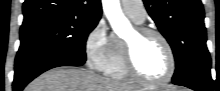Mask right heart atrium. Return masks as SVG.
I'll return each mask as SVG.
<instances>
[{"instance_id": "1", "label": "right heart atrium", "mask_w": 220, "mask_h": 91, "mask_svg": "<svg viewBox=\"0 0 220 91\" xmlns=\"http://www.w3.org/2000/svg\"><path fill=\"white\" fill-rule=\"evenodd\" d=\"M114 37L108 33L103 19L89 31L84 41L87 64L95 71H104L113 55Z\"/></svg>"}]
</instances>
